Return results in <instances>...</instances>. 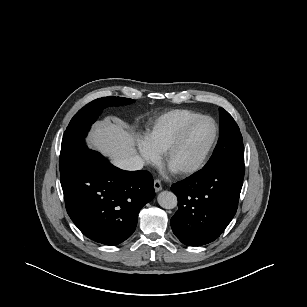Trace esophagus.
Masks as SVG:
<instances>
[{"label": "esophagus", "mask_w": 307, "mask_h": 307, "mask_svg": "<svg viewBox=\"0 0 307 307\" xmlns=\"http://www.w3.org/2000/svg\"><path fill=\"white\" fill-rule=\"evenodd\" d=\"M154 189L156 192H159L162 190V185H161L160 180L158 179L154 180Z\"/></svg>", "instance_id": "esophagus-1"}]
</instances>
